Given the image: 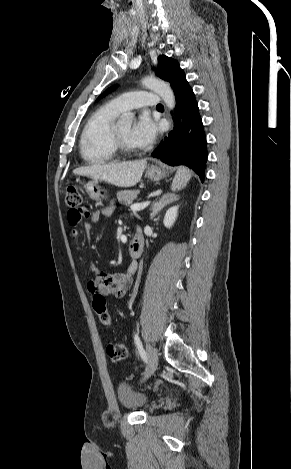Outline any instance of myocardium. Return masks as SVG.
Instances as JSON below:
<instances>
[{"instance_id":"myocardium-1","label":"myocardium","mask_w":291,"mask_h":469,"mask_svg":"<svg viewBox=\"0 0 291 469\" xmlns=\"http://www.w3.org/2000/svg\"><path fill=\"white\" fill-rule=\"evenodd\" d=\"M111 138H112V144L116 150V153L127 155V154H133L136 152L135 148L126 144L124 140L120 137L116 126H113L112 128Z\"/></svg>"}]
</instances>
